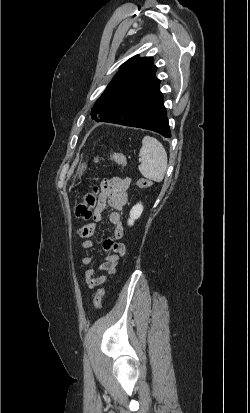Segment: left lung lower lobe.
<instances>
[{
  "label": "left lung lower lobe",
  "instance_id": "0a47b994",
  "mask_svg": "<svg viewBox=\"0 0 250 413\" xmlns=\"http://www.w3.org/2000/svg\"><path fill=\"white\" fill-rule=\"evenodd\" d=\"M159 84L158 80L137 85L134 92L122 101L117 112L99 121L148 129L171 137Z\"/></svg>",
  "mask_w": 250,
  "mask_h": 413
}]
</instances>
